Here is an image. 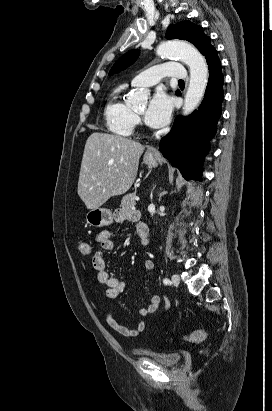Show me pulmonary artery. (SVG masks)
<instances>
[{
    "mask_svg": "<svg viewBox=\"0 0 272 411\" xmlns=\"http://www.w3.org/2000/svg\"><path fill=\"white\" fill-rule=\"evenodd\" d=\"M165 77L185 80L187 79V72L180 63H162L141 72L132 80V84L134 86L150 87L156 85Z\"/></svg>",
    "mask_w": 272,
    "mask_h": 411,
    "instance_id": "e3ab8cb5",
    "label": "pulmonary artery"
}]
</instances>
